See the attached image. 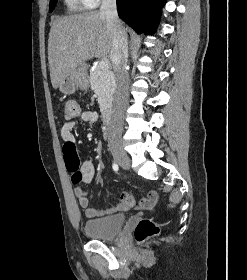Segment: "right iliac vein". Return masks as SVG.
I'll return each instance as SVG.
<instances>
[{"label":"right iliac vein","mask_w":247,"mask_h":280,"mask_svg":"<svg viewBox=\"0 0 247 280\" xmlns=\"http://www.w3.org/2000/svg\"><path fill=\"white\" fill-rule=\"evenodd\" d=\"M111 153L116 160V162L123 168H128L130 166V158L127 153L119 145L110 146Z\"/></svg>","instance_id":"right-iliac-vein-1"}]
</instances>
